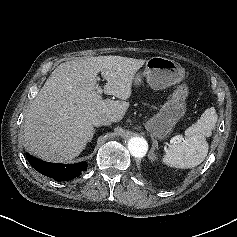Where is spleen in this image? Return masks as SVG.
<instances>
[{
    "label": "spleen",
    "mask_w": 237,
    "mask_h": 237,
    "mask_svg": "<svg viewBox=\"0 0 237 237\" xmlns=\"http://www.w3.org/2000/svg\"><path fill=\"white\" fill-rule=\"evenodd\" d=\"M218 116L214 107L208 108L195 124L185 130L184 139L165 149L162 162L169 167L187 169L201 164L208 154L206 137L212 134Z\"/></svg>",
    "instance_id": "1"
}]
</instances>
